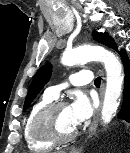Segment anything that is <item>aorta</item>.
<instances>
[{"label": "aorta", "instance_id": "762f6f07", "mask_svg": "<svg viewBox=\"0 0 130 153\" xmlns=\"http://www.w3.org/2000/svg\"><path fill=\"white\" fill-rule=\"evenodd\" d=\"M89 61H100L104 64L107 73V85L101 119L108 124L114 117L122 91L123 75L119 59L110 51L102 47L82 46L65 52L61 62L65 66L84 64Z\"/></svg>", "mask_w": 130, "mask_h": 153}]
</instances>
